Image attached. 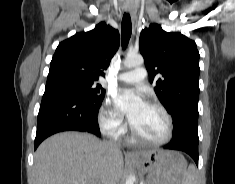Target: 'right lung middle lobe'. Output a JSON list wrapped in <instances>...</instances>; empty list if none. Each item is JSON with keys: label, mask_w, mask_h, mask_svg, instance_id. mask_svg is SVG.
<instances>
[{"label": "right lung middle lobe", "mask_w": 235, "mask_h": 184, "mask_svg": "<svg viewBox=\"0 0 235 184\" xmlns=\"http://www.w3.org/2000/svg\"><path fill=\"white\" fill-rule=\"evenodd\" d=\"M61 86L76 92L82 98L95 104H101L105 96V89L100 84L86 82L75 78H65L62 81Z\"/></svg>", "instance_id": "obj_1"}]
</instances>
